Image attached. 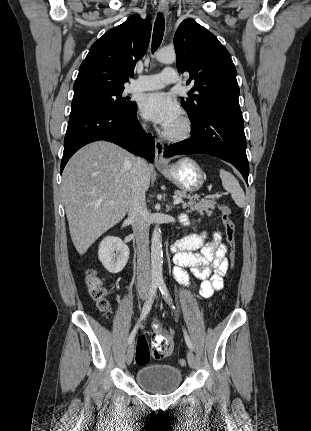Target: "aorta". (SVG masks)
Wrapping results in <instances>:
<instances>
[{
  "instance_id": "762f6f07",
  "label": "aorta",
  "mask_w": 311,
  "mask_h": 431,
  "mask_svg": "<svg viewBox=\"0 0 311 431\" xmlns=\"http://www.w3.org/2000/svg\"><path fill=\"white\" fill-rule=\"evenodd\" d=\"M155 58L157 62H161V64H173V62H176L175 50H158V52H155ZM162 265L163 249L161 229L159 225H155L151 239L152 283H155V281H163Z\"/></svg>"
}]
</instances>
